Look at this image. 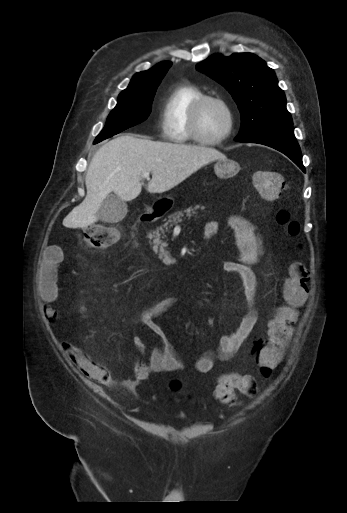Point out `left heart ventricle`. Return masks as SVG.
I'll return each mask as SVG.
<instances>
[{"mask_svg": "<svg viewBox=\"0 0 347 513\" xmlns=\"http://www.w3.org/2000/svg\"><path fill=\"white\" fill-rule=\"evenodd\" d=\"M228 116L225 109L216 102L204 105L199 119V130L205 138H217L227 129Z\"/></svg>", "mask_w": 347, "mask_h": 513, "instance_id": "left-heart-ventricle-1", "label": "left heart ventricle"}]
</instances>
